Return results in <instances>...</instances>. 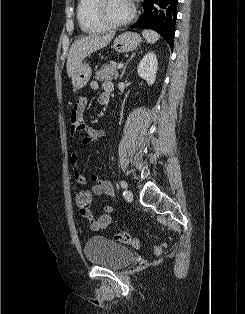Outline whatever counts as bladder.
Masks as SVG:
<instances>
[{"instance_id":"bladder-1","label":"bladder","mask_w":245,"mask_h":314,"mask_svg":"<svg viewBox=\"0 0 245 314\" xmlns=\"http://www.w3.org/2000/svg\"><path fill=\"white\" fill-rule=\"evenodd\" d=\"M84 254L89 263L113 270L123 269L135 258L134 252L128 247L98 235L87 240Z\"/></svg>"}]
</instances>
